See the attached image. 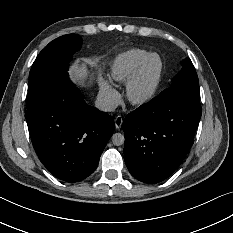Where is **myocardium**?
<instances>
[{
    "label": "myocardium",
    "mask_w": 233,
    "mask_h": 233,
    "mask_svg": "<svg viewBox=\"0 0 233 233\" xmlns=\"http://www.w3.org/2000/svg\"><path fill=\"white\" fill-rule=\"evenodd\" d=\"M155 57H158L162 60V67H161L160 74H159L152 90L150 91V93L144 97H137L134 93L135 88L138 85V83L140 82V80L142 79L146 70L148 69L151 61ZM165 76H166V62H165L164 57L159 53H151L146 58V60L142 64V66L136 71V73L126 83V96H127L128 100L132 104H134L138 107H144V106L148 105L149 103L154 101L157 98V96L159 95V93L162 89L164 80H165Z\"/></svg>",
    "instance_id": "f54148a6"
}]
</instances>
